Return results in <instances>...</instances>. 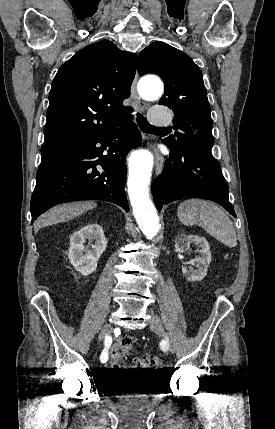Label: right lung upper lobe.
Returning a JSON list of instances; mask_svg holds the SVG:
<instances>
[{"mask_svg":"<svg viewBox=\"0 0 275 429\" xmlns=\"http://www.w3.org/2000/svg\"><path fill=\"white\" fill-rule=\"evenodd\" d=\"M137 55L101 40L78 51L58 70L49 93L41 153L54 152L132 118L130 96Z\"/></svg>","mask_w":275,"mask_h":429,"instance_id":"obj_1","label":"right lung upper lobe"}]
</instances>
